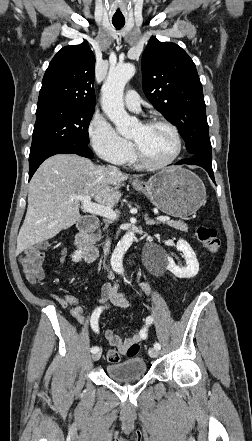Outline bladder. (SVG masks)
I'll return each instance as SVG.
<instances>
[{
	"mask_svg": "<svg viewBox=\"0 0 252 441\" xmlns=\"http://www.w3.org/2000/svg\"><path fill=\"white\" fill-rule=\"evenodd\" d=\"M146 362L143 358H131L119 363L108 364L106 374L118 382H130L142 378L146 373Z\"/></svg>",
	"mask_w": 252,
	"mask_h": 441,
	"instance_id": "1",
	"label": "bladder"
}]
</instances>
